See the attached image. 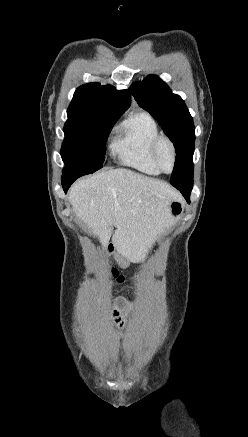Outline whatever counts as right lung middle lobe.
<instances>
[{
  "label": "right lung middle lobe",
  "mask_w": 248,
  "mask_h": 437,
  "mask_svg": "<svg viewBox=\"0 0 248 437\" xmlns=\"http://www.w3.org/2000/svg\"><path fill=\"white\" fill-rule=\"evenodd\" d=\"M119 117L89 119L68 115L61 156L63 175L93 173L103 167L105 145Z\"/></svg>",
  "instance_id": "dd1d6c3e"
}]
</instances>
